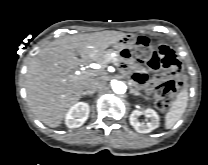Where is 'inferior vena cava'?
Instances as JSON below:
<instances>
[{
	"mask_svg": "<svg viewBox=\"0 0 208 165\" xmlns=\"http://www.w3.org/2000/svg\"><path fill=\"white\" fill-rule=\"evenodd\" d=\"M105 82L100 78H95L90 82V84L87 86V92L94 93L96 90L104 86Z\"/></svg>",
	"mask_w": 208,
	"mask_h": 165,
	"instance_id": "inferior-vena-cava-1",
	"label": "inferior vena cava"
}]
</instances>
